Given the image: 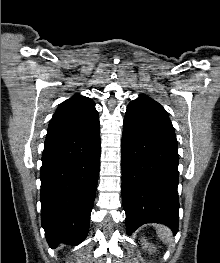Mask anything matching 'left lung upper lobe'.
Returning a JSON list of instances; mask_svg holds the SVG:
<instances>
[{
    "instance_id": "1",
    "label": "left lung upper lobe",
    "mask_w": 220,
    "mask_h": 263,
    "mask_svg": "<svg viewBox=\"0 0 220 263\" xmlns=\"http://www.w3.org/2000/svg\"><path fill=\"white\" fill-rule=\"evenodd\" d=\"M124 120L165 136L177 143L174 128L165 109L150 97L140 94L127 106Z\"/></svg>"
}]
</instances>
